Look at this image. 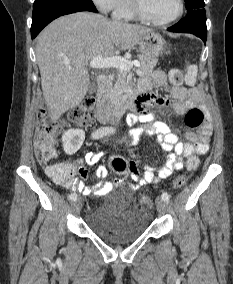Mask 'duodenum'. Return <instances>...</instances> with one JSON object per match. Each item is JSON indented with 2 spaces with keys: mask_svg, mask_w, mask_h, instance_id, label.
I'll list each match as a JSON object with an SVG mask.
<instances>
[{
  "mask_svg": "<svg viewBox=\"0 0 233 284\" xmlns=\"http://www.w3.org/2000/svg\"><path fill=\"white\" fill-rule=\"evenodd\" d=\"M108 83L109 78L107 75L101 74L97 77L98 91L96 118L101 123L116 125L128 109L135 107L136 103L142 95V90L139 89L136 93H134L127 103L113 105L109 103L105 97Z\"/></svg>",
  "mask_w": 233,
  "mask_h": 284,
  "instance_id": "duodenum-1",
  "label": "duodenum"
}]
</instances>
